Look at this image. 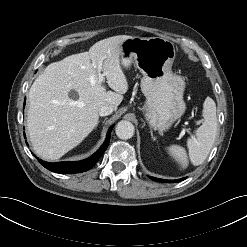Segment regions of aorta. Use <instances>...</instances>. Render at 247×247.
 <instances>
[{
	"instance_id": "aorta-1",
	"label": "aorta",
	"mask_w": 247,
	"mask_h": 247,
	"mask_svg": "<svg viewBox=\"0 0 247 247\" xmlns=\"http://www.w3.org/2000/svg\"><path fill=\"white\" fill-rule=\"evenodd\" d=\"M134 125L130 121L121 120L116 125V135L120 139H130L134 135Z\"/></svg>"
}]
</instances>
